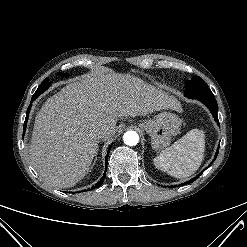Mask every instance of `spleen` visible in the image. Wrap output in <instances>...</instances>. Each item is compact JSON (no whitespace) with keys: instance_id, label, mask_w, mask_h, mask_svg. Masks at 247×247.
Segmentation results:
<instances>
[{"instance_id":"3e777b00","label":"spleen","mask_w":247,"mask_h":247,"mask_svg":"<svg viewBox=\"0 0 247 247\" xmlns=\"http://www.w3.org/2000/svg\"><path fill=\"white\" fill-rule=\"evenodd\" d=\"M204 152V131L192 129L155 157L154 165L175 178H187L199 169Z\"/></svg>"}]
</instances>
